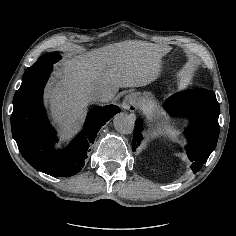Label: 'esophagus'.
Returning a JSON list of instances; mask_svg holds the SVG:
<instances>
[{"label": "esophagus", "instance_id": "1", "mask_svg": "<svg viewBox=\"0 0 236 236\" xmlns=\"http://www.w3.org/2000/svg\"><path fill=\"white\" fill-rule=\"evenodd\" d=\"M122 108L130 112H134L137 109V100L134 93L128 94L123 99Z\"/></svg>", "mask_w": 236, "mask_h": 236}]
</instances>
